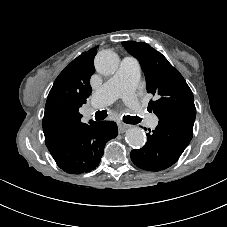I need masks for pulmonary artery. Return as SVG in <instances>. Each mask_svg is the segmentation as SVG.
I'll list each match as a JSON object with an SVG mask.
<instances>
[{
	"label": "pulmonary artery",
	"instance_id": "e3ab8cb5",
	"mask_svg": "<svg viewBox=\"0 0 227 227\" xmlns=\"http://www.w3.org/2000/svg\"><path fill=\"white\" fill-rule=\"evenodd\" d=\"M140 78V65L133 57H123L116 73L107 80L92 96L91 110L106 107L115 99L121 97L131 110L145 117L150 127L158 125V118L142 108L134 96V89Z\"/></svg>",
	"mask_w": 227,
	"mask_h": 227
}]
</instances>
